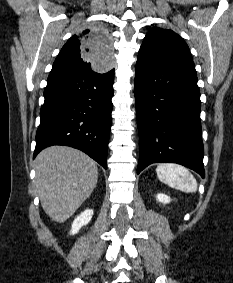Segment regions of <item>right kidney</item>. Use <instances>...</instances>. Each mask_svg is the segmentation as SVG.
I'll use <instances>...</instances> for the list:
<instances>
[{"mask_svg": "<svg viewBox=\"0 0 233 283\" xmlns=\"http://www.w3.org/2000/svg\"><path fill=\"white\" fill-rule=\"evenodd\" d=\"M93 215V210L87 209L84 212H82L72 223V229L70 231V234L74 235L78 233L80 228L84 225H87L89 221L91 220Z\"/></svg>", "mask_w": 233, "mask_h": 283, "instance_id": "obj_1", "label": "right kidney"}]
</instances>
